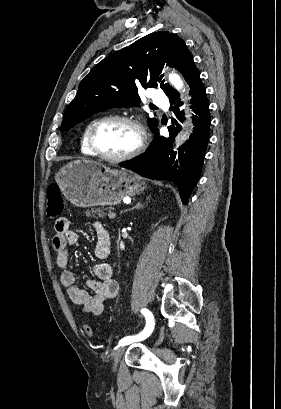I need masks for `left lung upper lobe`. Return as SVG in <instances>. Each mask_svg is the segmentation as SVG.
Wrapping results in <instances>:
<instances>
[{
  "mask_svg": "<svg viewBox=\"0 0 281 409\" xmlns=\"http://www.w3.org/2000/svg\"><path fill=\"white\" fill-rule=\"evenodd\" d=\"M165 64L179 70L187 82L197 69L185 42L168 31L149 34L105 58L81 81L64 113L61 130L70 129L99 111L138 106V87L160 86L169 98L178 94L162 80ZM148 123L152 131L158 125L154 118Z\"/></svg>",
  "mask_w": 281,
  "mask_h": 409,
  "instance_id": "left-lung-upper-lobe-1",
  "label": "left lung upper lobe"
}]
</instances>
